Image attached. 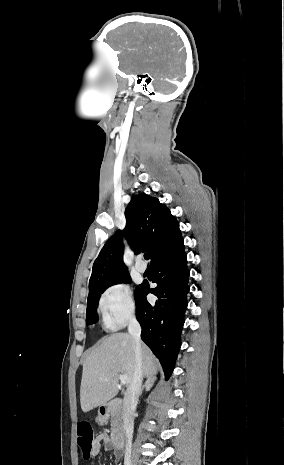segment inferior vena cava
I'll list each match as a JSON object with an SVG mask.
<instances>
[{
    "label": "inferior vena cava",
    "mask_w": 284,
    "mask_h": 465,
    "mask_svg": "<svg viewBox=\"0 0 284 465\" xmlns=\"http://www.w3.org/2000/svg\"><path fill=\"white\" fill-rule=\"evenodd\" d=\"M128 333L135 341V365L133 381L130 387H128L123 401V427L128 439L125 447L124 465H131L134 413L136 411L142 385L141 327L135 317H131L129 321Z\"/></svg>",
    "instance_id": "602c4592"
}]
</instances>
